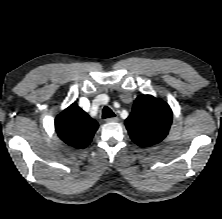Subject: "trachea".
<instances>
[{
    "mask_svg": "<svg viewBox=\"0 0 222 219\" xmlns=\"http://www.w3.org/2000/svg\"><path fill=\"white\" fill-rule=\"evenodd\" d=\"M115 117L114 112L109 107H104L102 112V118Z\"/></svg>",
    "mask_w": 222,
    "mask_h": 219,
    "instance_id": "obj_1",
    "label": "trachea"
}]
</instances>
